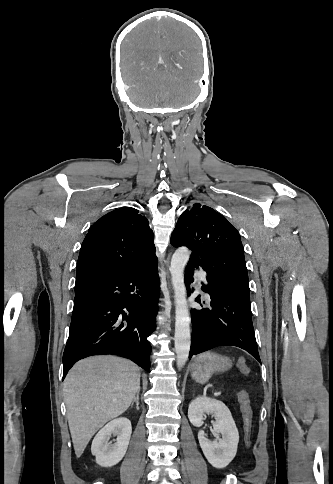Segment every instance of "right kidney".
<instances>
[{
    "label": "right kidney",
    "instance_id": "1",
    "mask_svg": "<svg viewBox=\"0 0 333 484\" xmlns=\"http://www.w3.org/2000/svg\"><path fill=\"white\" fill-rule=\"evenodd\" d=\"M131 433V422L127 418L114 419L105 425L91 445V453L96 457V463L101 467H112L119 463L126 454ZM112 434L117 436L114 444L110 442Z\"/></svg>",
    "mask_w": 333,
    "mask_h": 484
}]
</instances>
